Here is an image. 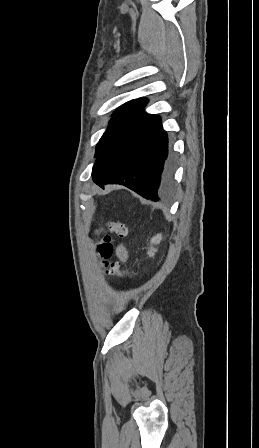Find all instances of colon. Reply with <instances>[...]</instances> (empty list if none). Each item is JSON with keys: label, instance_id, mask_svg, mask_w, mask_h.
I'll use <instances>...</instances> for the list:
<instances>
[{"label": "colon", "instance_id": "obj_1", "mask_svg": "<svg viewBox=\"0 0 259 448\" xmlns=\"http://www.w3.org/2000/svg\"><path fill=\"white\" fill-rule=\"evenodd\" d=\"M107 232L108 233L103 235L98 243L96 254L102 260V265L107 273L123 278L124 272L120 267V263L118 261L110 260L113 254V245L110 234H115L118 237H125L128 233V227L122 222L113 221L107 224Z\"/></svg>", "mask_w": 259, "mask_h": 448}]
</instances>
